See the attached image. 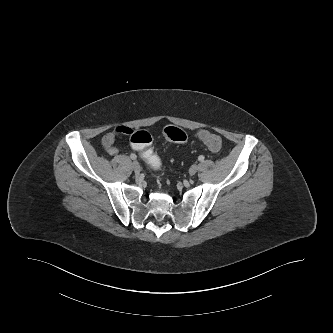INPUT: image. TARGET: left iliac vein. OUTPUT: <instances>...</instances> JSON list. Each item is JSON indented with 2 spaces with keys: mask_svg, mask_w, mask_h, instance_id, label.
Here are the masks:
<instances>
[{
  "mask_svg": "<svg viewBox=\"0 0 333 333\" xmlns=\"http://www.w3.org/2000/svg\"><path fill=\"white\" fill-rule=\"evenodd\" d=\"M197 171H198V166L197 165H192L189 169V174L190 175H195Z\"/></svg>",
  "mask_w": 333,
  "mask_h": 333,
  "instance_id": "left-iliac-vein-1",
  "label": "left iliac vein"
}]
</instances>
